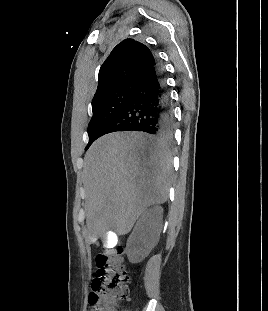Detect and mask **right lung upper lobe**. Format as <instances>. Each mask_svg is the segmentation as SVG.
I'll return each mask as SVG.
<instances>
[{
	"instance_id": "right-lung-upper-lobe-1",
	"label": "right lung upper lobe",
	"mask_w": 268,
	"mask_h": 311,
	"mask_svg": "<svg viewBox=\"0 0 268 311\" xmlns=\"http://www.w3.org/2000/svg\"><path fill=\"white\" fill-rule=\"evenodd\" d=\"M155 61L146 45L134 39L123 40L102 64L92 101L123 86L135 85L155 65Z\"/></svg>"
}]
</instances>
